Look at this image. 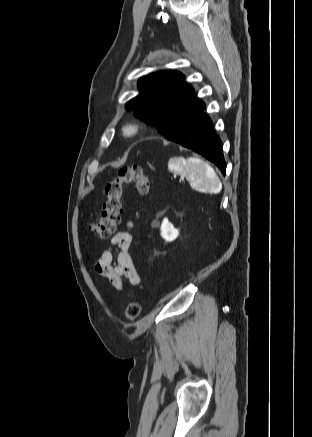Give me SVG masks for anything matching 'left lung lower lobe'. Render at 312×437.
Segmentation results:
<instances>
[{"instance_id":"obj_1","label":"left lung lower lobe","mask_w":312,"mask_h":437,"mask_svg":"<svg viewBox=\"0 0 312 437\" xmlns=\"http://www.w3.org/2000/svg\"><path fill=\"white\" fill-rule=\"evenodd\" d=\"M202 112L195 117L183 133L173 140L179 145L191 149L213 162L225 175L226 163L223 158L220 138L213 131L210 118Z\"/></svg>"}]
</instances>
